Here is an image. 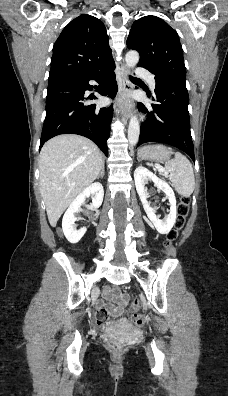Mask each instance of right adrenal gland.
<instances>
[{"label": "right adrenal gland", "instance_id": "1", "mask_svg": "<svg viewBox=\"0 0 228 396\" xmlns=\"http://www.w3.org/2000/svg\"><path fill=\"white\" fill-rule=\"evenodd\" d=\"M104 172H105V169H104V164H103L102 167H101L100 173L97 176V179H99L100 177L103 178Z\"/></svg>", "mask_w": 228, "mask_h": 396}]
</instances>
